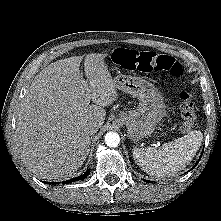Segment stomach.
<instances>
[{
    "label": "stomach",
    "mask_w": 221,
    "mask_h": 221,
    "mask_svg": "<svg viewBox=\"0 0 221 221\" xmlns=\"http://www.w3.org/2000/svg\"><path fill=\"white\" fill-rule=\"evenodd\" d=\"M117 89L136 97L139 101L134 110L123 111L119 120L127 128L133 141L150 136L166 114L161 93L147 80L132 75L119 74L114 78Z\"/></svg>",
    "instance_id": "0dacf381"
}]
</instances>
